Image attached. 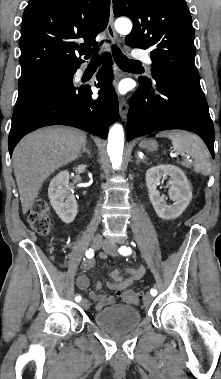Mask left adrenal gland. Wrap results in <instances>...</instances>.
Returning <instances> with one entry per match:
<instances>
[{"label": "left adrenal gland", "mask_w": 221, "mask_h": 379, "mask_svg": "<svg viewBox=\"0 0 221 379\" xmlns=\"http://www.w3.org/2000/svg\"><path fill=\"white\" fill-rule=\"evenodd\" d=\"M136 157H137L136 164H139L140 162L146 163V161L142 160L139 156H136Z\"/></svg>", "instance_id": "left-adrenal-gland-1"}]
</instances>
